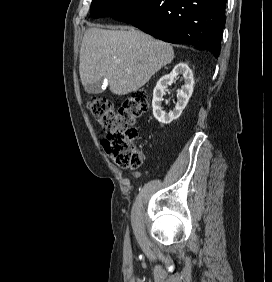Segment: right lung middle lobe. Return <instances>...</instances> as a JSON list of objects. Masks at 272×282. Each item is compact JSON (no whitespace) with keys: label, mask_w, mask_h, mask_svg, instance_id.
Segmentation results:
<instances>
[{"label":"right lung middle lobe","mask_w":272,"mask_h":282,"mask_svg":"<svg viewBox=\"0 0 272 282\" xmlns=\"http://www.w3.org/2000/svg\"><path fill=\"white\" fill-rule=\"evenodd\" d=\"M137 0H92L90 14L94 18L107 17Z\"/></svg>","instance_id":"dd1d6c3e"}]
</instances>
